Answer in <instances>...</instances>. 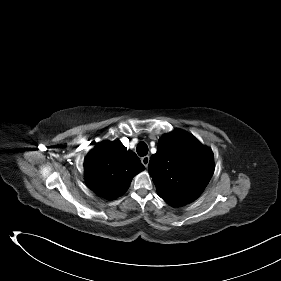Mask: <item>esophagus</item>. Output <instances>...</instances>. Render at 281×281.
Returning a JSON list of instances; mask_svg holds the SVG:
<instances>
[{
  "label": "esophagus",
  "instance_id": "obj_1",
  "mask_svg": "<svg viewBox=\"0 0 281 281\" xmlns=\"http://www.w3.org/2000/svg\"><path fill=\"white\" fill-rule=\"evenodd\" d=\"M149 161H150V157H149V156H144V157L141 158V162H142V164H143L145 167L148 166Z\"/></svg>",
  "mask_w": 281,
  "mask_h": 281
}]
</instances>
